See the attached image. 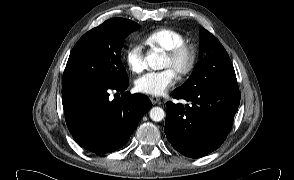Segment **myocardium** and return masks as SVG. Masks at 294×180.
Instances as JSON below:
<instances>
[{"label":"myocardium","instance_id":"1","mask_svg":"<svg viewBox=\"0 0 294 180\" xmlns=\"http://www.w3.org/2000/svg\"><path fill=\"white\" fill-rule=\"evenodd\" d=\"M166 56L173 62H178L183 58L185 59L184 65L177 72L179 77H186L195 69L197 63V51L190 44L183 43L177 45L166 51Z\"/></svg>","mask_w":294,"mask_h":180}]
</instances>
